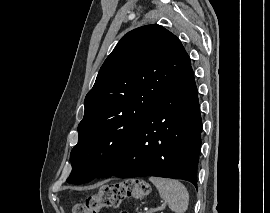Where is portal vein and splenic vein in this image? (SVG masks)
<instances>
[{
  "mask_svg": "<svg viewBox=\"0 0 270 213\" xmlns=\"http://www.w3.org/2000/svg\"><path fill=\"white\" fill-rule=\"evenodd\" d=\"M162 207H164V205H162ZM158 210H159V208H155V209L147 211L146 213H153L154 211H158Z\"/></svg>",
  "mask_w": 270,
  "mask_h": 213,
  "instance_id": "1",
  "label": "portal vein and splenic vein"
}]
</instances>
